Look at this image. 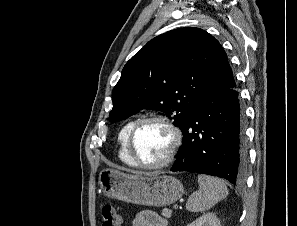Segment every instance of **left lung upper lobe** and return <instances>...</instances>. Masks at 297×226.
I'll use <instances>...</instances> for the list:
<instances>
[{"label":"left lung upper lobe","mask_w":297,"mask_h":226,"mask_svg":"<svg viewBox=\"0 0 297 226\" xmlns=\"http://www.w3.org/2000/svg\"><path fill=\"white\" fill-rule=\"evenodd\" d=\"M234 87L227 55L213 36L194 27L175 29L153 38L124 66L109 119L154 109L182 129L206 92Z\"/></svg>","instance_id":"left-lung-upper-lobe-1"}]
</instances>
